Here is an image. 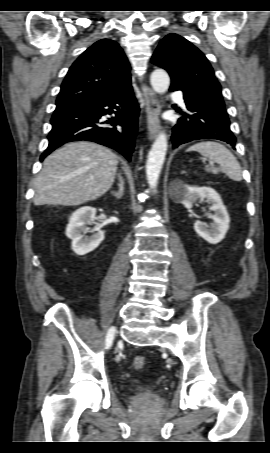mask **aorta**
<instances>
[{"mask_svg": "<svg viewBox=\"0 0 270 453\" xmlns=\"http://www.w3.org/2000/svg\"><path fill=\"white\" fill-rule=\"evenodd\" d=\"M150 82L153 90L159 94L165 93L170 85L168 73L163 69H156L150 76ZM168 148L167 136L160 133L154 141L146 162V177L151 189L155 191L160 172L165 160Z\"/></svg>", "mask_w": 270, "mask_h": 453, "instance_id": "1", "label": "aorta"}]
</instances>
